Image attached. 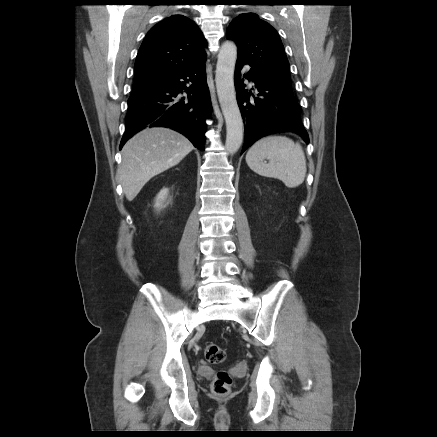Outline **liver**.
I'll list each match as a JSON object with an SVG mask.
<instances>
[{"label":"liver","instance_id":"1","mask_svg":"<svg viewBox=\"0 0 437 437\" xmlns=\"http://www.w3.org/2000/svg\"><path fill=\"white\" fill-rule=\"evenodd\" d=\"M193 148L185 136L165 127L135 134L122 149L118 171L127 200L132 201L151 178L176 166Z\"/></svg>","mask_w":437,"mask_h":437}]
</instances>
